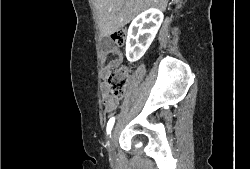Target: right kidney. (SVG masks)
Returning <instances> with one entry per match:
<instances>
[{
	"label": "right kidney",
	"mask_w": 250,
	"mask_h": 169,
	"mask_svg": "<svg viewBox=\"0 0 250 169\" xmlns=\"http://www.w3.org/2000/svg\"><path fill=\"white\" fill-rule=\"evenodd\" d=\"M164 18L159 8H147L132 20L126 38L127 60H139L155 38Z\"/></svg>",
	"instance_id": "ca27d5eb"
}]
</instances>
